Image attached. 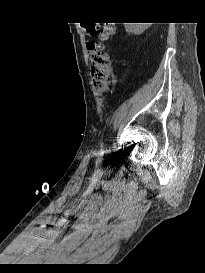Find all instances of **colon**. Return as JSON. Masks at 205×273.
<instances>
[{
    "label": "colon",
    "instance_id": "5ec220e1",
    "mask_svg": "<svg viewBox=\"0 0 205 273\" xmlns=\"http://www.w3.org/2000/svg\"><path fill=\"white\" fill-rule=\"evenodd\" d=\"M115 24L108 21L98 25H88L90 34L98 35L99 41L88 45V56L91 64V76L96 93L102 94L115 81L111 69V59L105 49L104 41L110 39L114 34Z\"/></svg>",
    "mask_w": 205,
    "mask_h": 273
}]
</instances>
